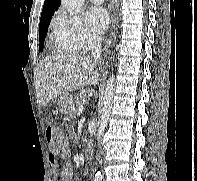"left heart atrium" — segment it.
<instances>
[{"mask_svg": "<svg viewBox=\"0 0 197 181\" xmlns=\"http://www.w3.org/2000/svg\"><path fill=\"white\" fill-rule=\"evenodd\" d=\"M87 20L90 27L97 33L104 32L110 22L108 11L103 7H93L87 12Z\"/></svg>", "mask_w": 197, "mask_h": 181, "instance_id": "obj_1", "label": "left heart atrium"}]
</instances>
